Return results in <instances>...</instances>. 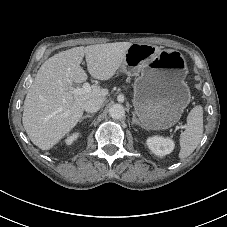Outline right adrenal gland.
I'll return each mask as SVG.
<instances>
[{
    "instance_id": "1",
    "label": "right adrenal gland",
    "mask_w": 227,
    "mask_h": 227,
    "mask_svg": "<svg viewBox=\"0 0 227 227\" xmlns=\"http://www.w3.org/2000/svg\"><path fill=\"white\" fill-rule=\"evenodd\" d=\"M93 117H94V114H86V115H84V116L81 117L80 123H81L84 119H86V118H93Z\"/></svg>"
}]
</instances>
